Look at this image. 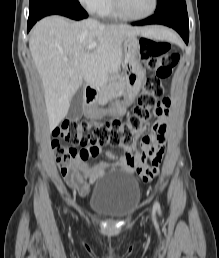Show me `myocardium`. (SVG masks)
I'll return each mask as SVG.
<instances>
[{
	"label": "myocardium",
	"mask_w": 219,
	"mask_h": 258,
	"mask_svg": "<svg viewBox=\"0 0 219 258\" xmlns=\"http://www.w3.org/2000/svg\"><path fill=\"white\" fill-rule=\"evenodd\" d=\"M112 2H113V8L119 17L126 19V20H132V21L143 20V19H146V18L152 16L158 7V0H153L152 9L148 13L143 14V15L134 16V15H129L125 12V10L122 6L121 0H112Z\"/></svg>",
	"instance_id": "myocardium-1"
}]
</instances>
